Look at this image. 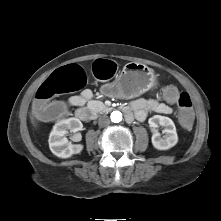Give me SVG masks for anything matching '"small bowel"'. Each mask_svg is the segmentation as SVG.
<instances>
[{"label": "small bowel", "instance_id": "c3829d8e", "mask_svg": "<svg viewBox=\"0 0 221 221\" xmlns=\"http://www.w3.org/2000/svg\"><path fill=\"white\" fill-rule=\"evenodd\" d=\"M92 96V91L85 89L80 94L70 97L69 104L74 107L83 106ZM130 108L134 111L135 118L139 121H144L151 112L165 115L172 112L171 106L157 99H135L131 102Z\"/></svg>", "mask_w": 221, "mask_h": 221}]
</instances>
